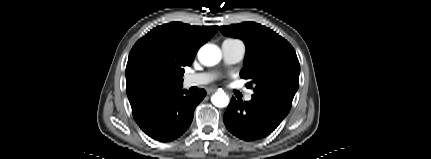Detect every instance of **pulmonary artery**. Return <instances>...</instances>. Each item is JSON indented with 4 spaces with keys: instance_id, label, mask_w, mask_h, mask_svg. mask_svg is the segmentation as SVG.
<instances>
[{
    "instance_id": "obj_1",
    "label": "pulmonary artery",
    "mask_w": 431,
    "mask_h": 159,
    "mask_svg": "<svg viewBox=\"0 0 431 159\" xmlns=\"http://www.w3.org/2000/svg\"><path fill=\"white\" fill-rule=\"evenodd\" d=\"M223 59L226 64L232 65L239 63L245 56V45L243 42L234 39H227L221 45ZM214 79L212 73H197L188 75L184 80L186 87L201 86L211 82ZM252 94L248 93L245 96L246 101H250Z\"/></svg>"
}]
</instances>
